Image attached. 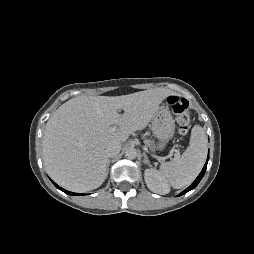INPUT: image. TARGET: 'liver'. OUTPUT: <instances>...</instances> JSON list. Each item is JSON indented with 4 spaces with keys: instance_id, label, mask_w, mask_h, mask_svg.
Masks as SVG:
<instances>
[{
    "instance_id": "obj_1",
    "label": "liver",
    "mask_w": 254,
    "mask_h": 254,
    "mask_svg": "<svg viewBox=\"0 0 254 254\" xmlns=\"http://www.w3.org/2000/svg\"><path fill=\"white\" fill-rule=\"evenodd\" d=\"M174 92L155 88L122 96H78L62 104L48 120L43 136L45 170L62 187L86 192L107 175L106 147L125 142L144 129L159 105ZM123 114H119V110ZM118 126L114 132L109 129Z\"/></svg>"
}]
</instances>
